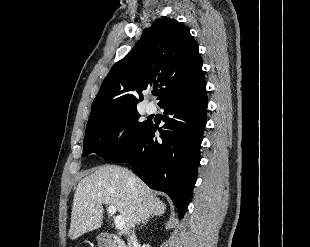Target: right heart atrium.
I'll return each instance as SVG.
<instances>
[{
    "instance_id": "d8ad5b80",
    "label": "right heart atrium",
    "mask_w": 310,
    "mask_h": 247,
    "mask_svg": "<svg viewBox=\"0 0 310 247\" xmlns=\"http://www.w3.org/2000/svg\"><path fill=\"white\" fill-rule=\"evenodd\" d=\"M127 136V130L125 128L118 129L115 134L114 138L116 141H123Z\"/></svg>"
}]
</instances>
